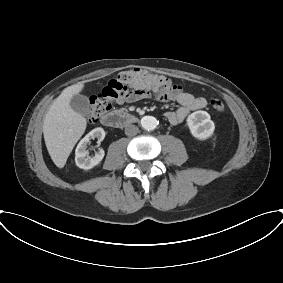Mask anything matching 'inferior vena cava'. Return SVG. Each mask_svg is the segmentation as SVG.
<instances>
[{
  "label": "inferior vena cava",
  "mask_w": 283,
  "mask_h": 283,
  "mask_svg": "<svg viewBox=\"0 0 283 283\" xmlns=\"http://www.w3.org/2000/svg\"><path fill=\"white\" fill-rule=\"evenodd\" d=\"M139 131V128L135 125H128L125 127V134L127 136H135Z\"/></svg>",
  "instance_id": "inferior-vena-cava-1"
}]
</instances>
